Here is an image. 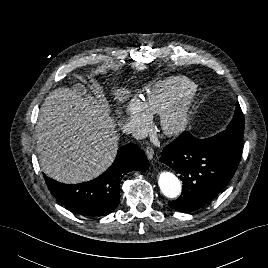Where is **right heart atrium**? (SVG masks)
Masks as SVG:
<instances>
[{
  "label": "right heart atrium",
  "mask_w": 268,
  "mask_h": 268,
  "mask_svg": "<svg viewBox=\"0 0 268 268\" xmlns=\"http://www.w3.org/2000/svg\"><path fill=\"white\" fill-rule=\"evenodd\" d=\"M126 121L129 129L141 131L142 125L152 117L151 112L140 98L134 97L125 105Z\"/></svg>",
  "instance_id": "obj_1"
}]
</instances>
